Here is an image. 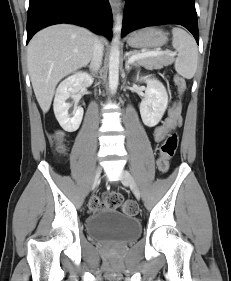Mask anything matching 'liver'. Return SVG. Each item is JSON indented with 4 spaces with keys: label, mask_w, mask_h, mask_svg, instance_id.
<instances>
[{
    "label": "liver",
    "mask_w": 231,
    "mask_h": 281,
    "mask_svg": "<svg viewBox=\"0 0 231 281\" xmlns=\"http://www.w3.org/2000/svg\"><path fill=\"white\" fill-rule=\"evenodd\" d=\"M96 40L89 30L69 24L47 27L31 39L27 49L28 71L44 113L51 106L58 82L90 62Z\"/></svg>",
    "instance_id": "1"
}]
</instances>
